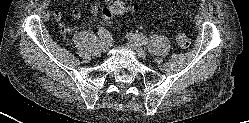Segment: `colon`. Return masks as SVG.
<instances>
[{
	"mask_svg": "<svg viewBox=\"0 0 249 123\" xmlns=\"http://www.w3.org/2000/svg\"><path fill=\"white\" fill-rule=\"evenodd\" d=\"M137 10L138 7L133 4L114 3L104 7L101 14L104 19H110L120 13H133ZM176 42L182 48H187L191 44L190 38L182 31V29L177 30Z\"/></svg>",
	"mask_w": 249,
	"mask_h": 123,
	"instance_id": "1",
	"label": "colon"
}]
</instances>
